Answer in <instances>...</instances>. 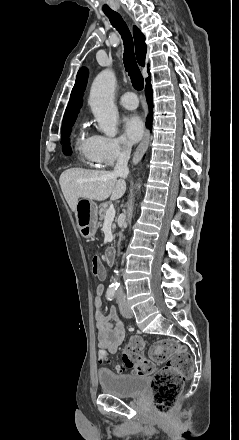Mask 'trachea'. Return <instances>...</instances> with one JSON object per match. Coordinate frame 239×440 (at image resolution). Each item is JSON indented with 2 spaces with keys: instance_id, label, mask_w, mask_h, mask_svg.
<instances>
[{
  "instance_id": "obj_1",
  "label": "trachea",
  "mask_w": 239,
  "mask_h": 440,
  "mask_svg": "<svg viewBox=\"0 0 239 440\" xmlns=\"http://www.w3.org/2000/svg\"><path fill=\"white\" fill-rule=\"evenodd\" d=\"M105 15L109 18L111 24L116 28V30L119 31L120 35L122 36L124 43V66L126 71L128 72L133 87L138 91L143 90L144 79L136 62L133 38L128 26L122 19L121 15L117 12L106 13Z\"/></svg>"
}]
</instances>
